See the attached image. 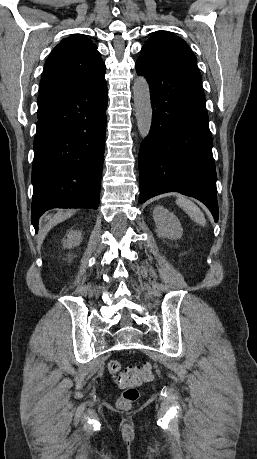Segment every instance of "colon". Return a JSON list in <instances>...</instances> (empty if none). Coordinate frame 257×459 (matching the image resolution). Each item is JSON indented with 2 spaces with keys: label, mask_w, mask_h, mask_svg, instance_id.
<instances>
[{
  "label": "colon",
  "mask_w": 257,
  "mask_h": 459,
  "mask_svg": "<svg viewBox=\"0 0 257 459\" xmlns=\"http://www.w3.org/2000/svg\"><path fill=\"white\" fill-rule=\"evenodd\" d=\"M107 368L116 384L124 389L117 400L118 408L129 409L139 397L137 387L152 378L151 364L144 363L142 365L129 366L124 371H121L119 361L110 360Z\"/></svg>",
  "instance_id": "obj_1"
}]
</instances>
